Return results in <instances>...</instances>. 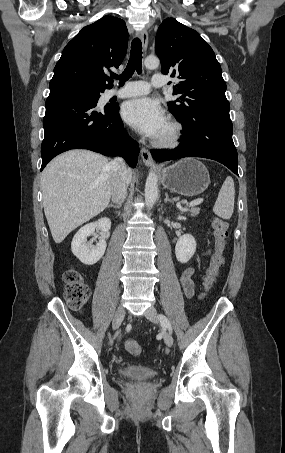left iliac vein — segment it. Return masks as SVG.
Wrapping results in <instances>:
<instances>
[{"label":"left iliac vein","mask_w":285,"mask_h":453,"mask_svg":"<svg viewBox=\"0 0 285 453\" xmlns=\"http://www.w3.org/2000/svg\"><path fill=\"white\" fill-rule=\"evenodd\" d=\"M145 317L150 320L151 322L153 323H158V319H157V310L155 309V307L151 306L149 307L146 312H145ZM164 341H165V344L168 346V347H171L173 345V337L172 335L167 332V331H164Z\"/></svg>","instance_id":"4c4485c4"}]
</instances>
